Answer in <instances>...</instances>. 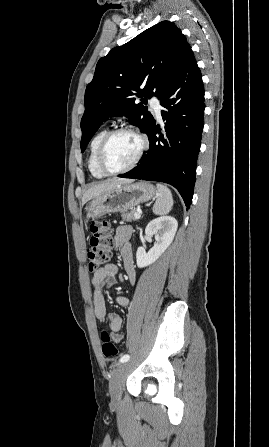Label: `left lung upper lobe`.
<instances>
[{
	"mask_svg": "<svg viewBox=\"0 0 269 447\" xmlns=\"http://www.w3.org/2000/svg\"><path fill=\"white\" fill-rule=\"evenodd\" d=\"M189 48L181 30L162 21L102 57L85 91L81 151L111 116H126L146 133L154 118L143 103L161 98Z\"/></svg>",
	"mask_w": 269,
	"mask_h": 447,
	"instance_id": "1",
	"label": "left lung upper lobe"
}]
</instances>
